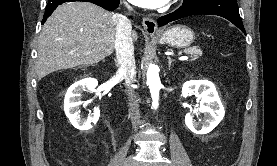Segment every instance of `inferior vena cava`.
Listing matches in <instances>:
<instances>
[{"label":"inferior vena cava","instance_id":"obj_1","mask_svg":"<svg viewBox=\"0 0 277 166\" xmlns=\"http://www.w3.org/2000/svg\"><path fill=\"white\" fill-rule=\"evenodd\" d=\"M127 8L130 10L132 9L128 5ZM114 19L116 20V61L119 71L126 81L129 115L132 120L133 128L136 129V126L139 123L140 114L138 100L133 88L131 87L136 74L134 47L131 36L132 26L130 20L124 15L115 14Z\"/></svg>","mask_w":277,"mask_h":166}]
</instances>
